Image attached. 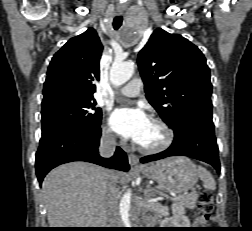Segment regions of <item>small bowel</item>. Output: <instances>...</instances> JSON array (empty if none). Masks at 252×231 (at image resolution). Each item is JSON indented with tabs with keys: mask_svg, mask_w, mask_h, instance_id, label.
Masks as SVG:
<instances>
[{
	"mask_svg": "<svg viewBox=\"0 0 252 231\" xmlns=\"http://www.w3.org/2000/svg\"><path fill=\"white\" fill-rule=\"evenodd\" d=\"M204 223H205V221L202 219L201 216L196 217L195 224L200 225V224H204Z\"/></svg>",
	"mask_w": 252,
	"mask_h": 231,
	"instance_id": "c3829d8e",
	"label": "small bowel"
}]
</instances>
